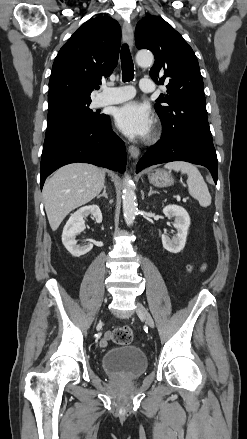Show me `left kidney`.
Instances as JSON below:
<instances>
[{
	"label": "left kidney",
	"instance_id": "left-kidney-1",
	"mask_svg": "<svg viewBox=\"0 0 247 439\" xmlns=\"http://www.w3.org/2000/svg\"><path fill=\"white\" fill-rule=\"evenodd\" d=\"M163 213L168 218H174L173 226L177 230V234L170 238L168 235H162L163 247L171 253H179L186 244L188 229L190 226V216L188 212L181 206L168 205L163 208Z\"/></svg>",
	"mask_w": 247,
	"mask_h": 439
}]
</instances>
